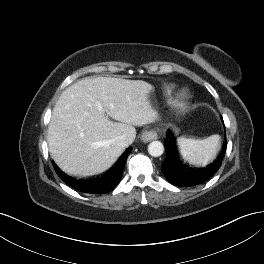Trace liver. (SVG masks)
<instances>
[{
  "label": "liver",
  "instance_id": "liver-1",
  "mask_svg": "<svg viewBox=\"0 0 264 264\" xmlns=\"http://www.w3.org/2000/svg\"><path fill=\"white\" fill-rule=\"evenodd\" d=\"M153 91L154 87L142 80L101 76L83 78L66 88L48 127L52 159L75 176L109 169L126 148L116 142L117 137L124 135L131 144L136 137L134 126L159 120L149 99ZM96 102L102 105L101 111Z\"/></svg>",
  "mask_w": 264,
  "mask_h": 264
}]
</instances>
